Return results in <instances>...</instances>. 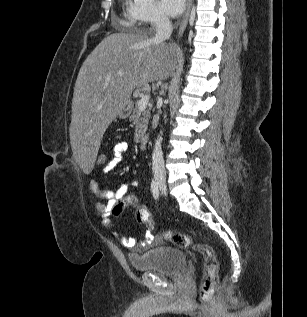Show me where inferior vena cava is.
Returning a JSON list of instances; mask_svg holds the SVG:
<instances>
[{"label": "inferior vena cava", "instance_id": "1", "mask_svg": "<svg viewBox=\"0 0 307 317\" xmlns=\"http://www.w3.org/2000/svg\"><path fill=\"white\" fill-rule=\"evenodd\" d=\"M153 26L156 30L154 37L155 42H162L169 39L173 28L169 18L163 14L156 17ZM152 171L154 176H164L165 164L163 159V152L161 149V138H158L155 142L154 150L152 153Z\"/></svg>", "mask_w": 307, "mask_h": 317}]
</instances>
